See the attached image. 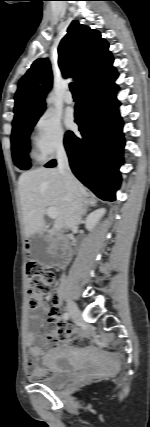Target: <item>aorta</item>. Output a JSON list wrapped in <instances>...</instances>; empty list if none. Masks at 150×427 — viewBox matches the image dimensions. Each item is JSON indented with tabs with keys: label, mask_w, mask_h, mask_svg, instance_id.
<instances>
[{
	"label": "aorta",
	"mask_w": 150,
	"mask_h": 427,
	"mask_svg": "<svg viewBox=\"0 0 150 427\" xmlns=\"http://www.w3.org/2000/svg\"><path fill=\"white\" fill-rule=\"evenodd\" d=\"M50 102H51V96H49V97L47 98V103H48V104H50Z\"/></svg>",
	"instance_id": "1"
}]
</instances>
